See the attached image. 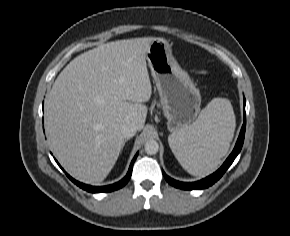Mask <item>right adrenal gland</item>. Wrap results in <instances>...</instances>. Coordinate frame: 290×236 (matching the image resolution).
<instances>
[{"label":"right adrenal gland","mask_w":290,"mask_h":236,"mask_svg":"<svg viewBox=\"0 0 290 236\" xmlns=\"http://www.w3.org/2000/svg\"><path fill=\"white\" fill-rule=\"evenodd\" d=\"M127 141H128V139H125V140H124V144H123V147L125 146V143H126Z\"/></svg>","instance_id":"2a0ac1e0"}]
</instances>
